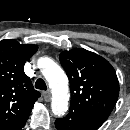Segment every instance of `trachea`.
Segmentation results:
<instances>
[{"label": "trachea", "instance_id": "obj_1", "mask_svg": "<svg viewBox=\"0 0 130 130\" xmlns=\"http://www.w3.org/2000/svg\"><path fill=\"white\" fill-rule=\"evenodd\" d=\"M35 88L39 90H47V85L43 79H38L35 83Z\"/></svg>", "mask_w": 130, "mask_h": 130}]
</instances>
